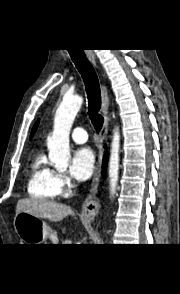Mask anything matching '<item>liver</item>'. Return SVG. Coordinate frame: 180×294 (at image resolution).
Returning a JSON list of instances; mask_svg holds the SVG:
<instances>
[{
  "label": "liver",
  "mask_w": 180,
  "mask_h": 294,
  "mask_svg": "<svg viewBox=\"0 0 180 294\" xmlns=\"http://www.w3.org/2000/svg\"><path fill=\"white\" fill-rule=\"evenodd\" d=\"M26 212L41 219L61 221L72 214V209L64 204L38 198L20 199L16 205V214Z\"/></svg>",
  "instance_id": "obj_1"
}]
</instances>
